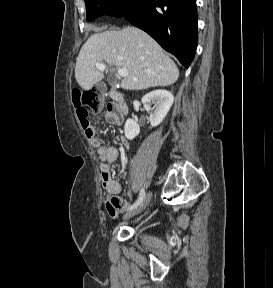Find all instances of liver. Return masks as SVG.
Segmentation results:
<instances>
[{
	"instance_id": "obj_1",
	"label": "liver",
	"mask_w": 273,
	"mask_h": 288,
	"mask_svg": "<svg viewBox=\"0 0 273 288\" xmlns=\"http://www.w3.org/2000/svg\"><path fill=\"white\" fill-rule=\"evenodd\" d=\"M96 32L82 46L76 60L75 78L84 90H90L104 78V73L96 68V63L103 62L128 70L121 82L125 90L169 86L177 81L176 64L144 31L126 27Z\"/></svg>"
}]
</instances>
